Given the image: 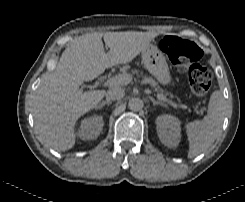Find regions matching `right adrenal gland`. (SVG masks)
<instances>
[{"instance_id":"right-adrenal-gland-1","label":"right adrenal gland","mask_w":245,"mask_h":202,"mask_svg":"<svg viewBox=\"0 0 245 202\" xmlns=\"http://www.w3.org/2000/svg\"><path fill=\"white\" fill-rule=\"evenodd\" d=\"M111 104H112L111 101L106 100V101L101 102V103L96 107V109H101V108L104 107L105 105L110 106Z\"/></svg>"}]
</instances>
